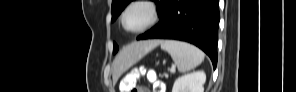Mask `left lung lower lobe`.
Returning a JSON list of instances; mask_svg holds the SVG:
<instances>
[{
	"instance_id": "obj_1",
	"label": "left lung lower lobe",
	"mask_w": 296,
	"mask_h": 92,
	"mask_svg": "<svg viewBox=\"0 0 296 92\" xmlns=\"http://www.w3.org/2000/svg\"><path fill=\"white\" fill-rule=\"evenodd\" d=\"M219 0H169L163 21L137 39H175L198 46L217 65Z\"/></svg>"
}]
</instances>
